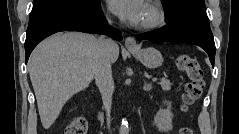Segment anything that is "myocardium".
<instances>
[{
	"label": "myocardium",
	"instance_id": "1",
	"mask_svg": "<svg viewBox=\"0 0 239 134\" xmlns=\"http://www.w3.org/2000/svg\"><path fill=\"white\" fill-rule=\"evenodd\" d=\"M147 8L150 12V17L147 21L140 24L141 29L151 30L162 26L165 22L164 11L156 4L148 3Z\"/></svg>",
	"mask_w": 239,
	"mask_h": 134
}]
</instances>
